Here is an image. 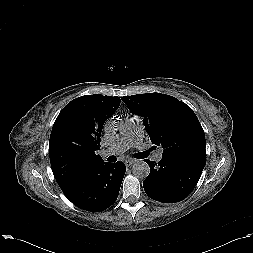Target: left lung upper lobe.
<instances>
[{"instance_id":"obj_1","label":"left lung upper lobe","mask_w":253,"mask_h":253,"mask_svg":"<svg viewBox=\"0 0 253 253\" xmlns=\"http://www.w3.org/2000/svg\"><path fill=\"white\" fill-rule=\"evenodd\" d=\"M121 99L133 114L143 117L145 130L151 142L163 148L162 155L193 153L205 156V134L188 105L161 93Z\"/></svg>"}]
</instances>
